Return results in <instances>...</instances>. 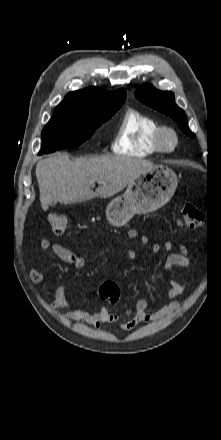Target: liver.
<instances>
[{
	"mask_svg": "<svg viewBox=\"0 0 221 440\" xmlns=\"http://www.w3.org/2000/svg\"><path fill=\"white\" fill-rule=\"evenodd\" d=\"M152 166L147 160L122 156L71 161L67 153L40 160L36 178L42 209L46 211L52 202L68 205L113 196ZM95 182L101 186L94 192Z\"/></svg>",
	"mask_w": 221,
	"mask_h": 440,
	"instance_id": "1",
	"label": "liver"
}]
</instances>
